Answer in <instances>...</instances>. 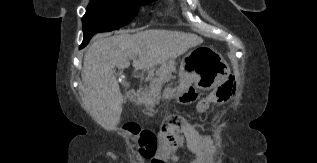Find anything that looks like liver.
<instances>
[{"label":"liver","mask_w":317,"mask_h":163,"mask_svg":"<svg viewBox=\"0 0 317 163\" xmlns=\"http://www.w3.org/2000/svg\"><path fill=\"white\" fill-rule=\"evenodd\" d=\"M202 43L195 34L163 29L99 36L87 48L82 69L85 106L92 118L108 130L120 122L123 96L115 67L123 70L133 60L135 71L145 72Z\"/></svg>","instance_id":"1"}]
</instances>
